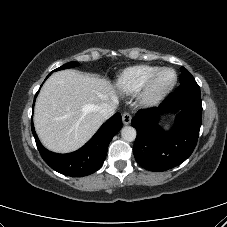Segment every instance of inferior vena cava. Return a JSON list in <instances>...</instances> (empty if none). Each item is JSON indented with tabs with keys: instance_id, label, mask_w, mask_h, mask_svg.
<instances>
[{
	"instance_id": "inferior-vena-cava-1",
	"label": "inferior vena cava",
	"mask_w": 227,
	"mask_h": 227,
	"mask_svg": "<svg viewBox=\"0 0 227 227\" xmlns=\"http://www.w3.org/2000/svg\"><path fill=\"white\" fill-rule=\"evenodd\" d=\"M97 111L104 119H107L114 114L115 108L107 103H101L97 107Z\"/></svg>"
}]
</instances>
